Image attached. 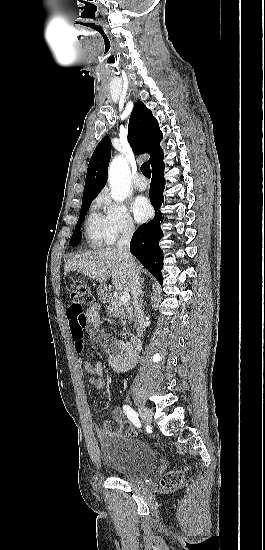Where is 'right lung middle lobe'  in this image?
<instances>
[{
	"label": "right lung middle lobe",
	"instance_id": "right-lung-middle-lobe-1",
	"mask_svg": "<svg viewBox=\"0 0 265 550\" xmlns=\"http://www.w3.org/2000/svg\"><path fill=\"white\" fill-rule=\"evenodd\" d=\"M93 199L94 198L82 199V206H81L80 216H79L78 222L75 226V230L73 232V235L70 239L69 246H77L78 243L80 242V239H81V233H80L81 224H82L84 216H85L87 210L89 209Z\"/></svg>",
	"mask_w": 265,
	"mask_h": 550
}]
</instances>
